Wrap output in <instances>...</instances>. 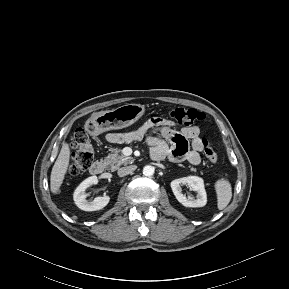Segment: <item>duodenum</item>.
<instances>
[{"mask_svg":"<svg viewBox=\"0 0 289 289\" xmlns=\"http://www.w3.org/2000/svg\"><path fill=\"white\" fill-rule=\"evenodd\" d=\"M153 160H156V159H153ZM104 171H105V164L102 161H95L90 166V173L92 175H100Z\"/></svg>","mask_w":289,"mask_h":289,"instance_id":"duodenum-1","label":"duodenum"}]
</instances>
